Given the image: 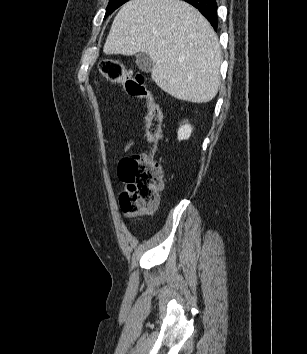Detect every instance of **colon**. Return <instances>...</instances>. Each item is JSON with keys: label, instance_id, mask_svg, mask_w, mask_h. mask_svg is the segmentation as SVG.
<instances>
[{"label": "colon", "instance_id": "colon-1", "mask_svg": "<svg viewBox=\"0 0 307 354\" xmlns=\"http://www.w3.org/2000/svg\"><path fill=\"white\" fill-rule=\"evenodd\" d=\"M100 74L110 82L125 86L128 94L146 101V138L152 145L150 152L124 158L118 168L120 179L126 189L119 197L122 213L129 218L154 211L163 186V169L154 160L157 143L161 138V110L148 89L145 77L134 73L114 58L107 57L99 63Z\"/></svg>", "mask_w": 307, "mask_h": 354}]
</instances>
